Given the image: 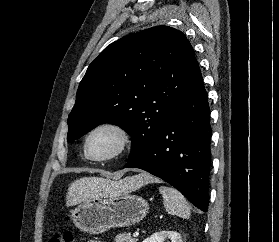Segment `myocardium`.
I'll return each mask as SVG.
<instances>
[{
    "label": "myocardium",
    "mask_w": 279,
    "mask_h": 242,
    "mask_svg": "<svg viewBox=\"0 0 279 242\" xmlns=\"http://www.w3.org/2000/svg\"><path fill=\"white\" fill-rule=\"evenodd\" d=\"M102 130H109L114 132L118 137V144L114 151L103 157H93L89 153V142L91 138ZM132 136L130 131L122 124L115 121H104L93 126L87 133L84 140V154L86 158L92 162H107L122 156L130 147Z\"/></svg>",
    "instance_id": "f54148a6"
}]
</instances>
